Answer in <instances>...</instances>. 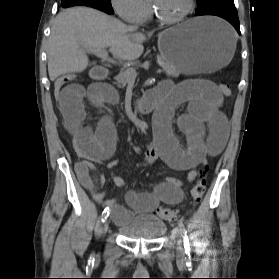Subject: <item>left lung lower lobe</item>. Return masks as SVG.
Masks as SVG:
<instances>
[{"mask_svg":"<svg viewBox=\"0 0 279 279\" xmlns=\"http://www.w3.org/2000/svg\"><path fill=\"white\" fill-rule=\"evenodd\" d=\"M201 15H215L222 17L229 21L237 30V32L241 34L238 14L233 0L212 1L204 7L199 8V10L196 12V16Z\"/></svg>","mask_w":279,"mask_h":279,"instance_id":"obj_1","label":"left lung lower lobe"}]
</instances>
